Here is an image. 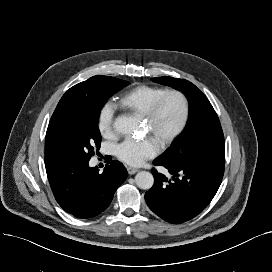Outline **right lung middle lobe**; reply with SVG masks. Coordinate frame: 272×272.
I'll return each mask as SVG.
<instances>
[{
  "mask_svg": "<svg viewBox=\"0 0 272 272\" xmlns=\"http://www.w3.org/2000/svg\"><path fill=\"white\" fill-rule=\"evenodd\" d=\"M128 83L104 76L89 98L50 121L45 139V155L57 161L90 160L93 150L100 148V110L109 97Z\"/></svg>",
  "mask_w": 272,
  "mask_h": 272,
  "instance_id": "1",
  "label": "right lung middle lobe"
}]
</instances>
